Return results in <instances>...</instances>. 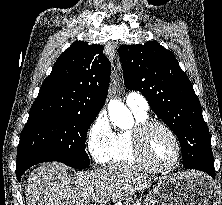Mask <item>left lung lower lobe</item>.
<instances>
[{
    "mask_svg": "<svg viewBox=\"0 0 222 205\" xmlns=\"http://www.w3.org/2000/svg\"><path fill=\"white\" fill-rule=\"evenodd\" d=\"M183 164L185 168L200 170L215 178L214 161L188 153L183 155Z\"/></svg>",
    "mask_w": 222,
    "mask_h": 205,
    "instance_id": "0a47b994",
    "label": "left lung lower lobe"
}]
</instances>
